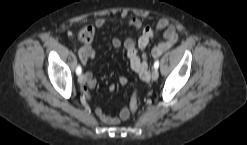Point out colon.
<instances>
[{
	"label": "colon",
	"mask_w": 247,
	"mask_h": 145,
	"mask_svg": "<svg viewBox=\"0 0 247 145\" xmlns=\"http://www.w3.org/2000/svg\"><path fill=\"white\" fill-rule=\"evenodd\" d=\"M94 36V29L91 26H84L79 32V39L84 42H90ZM139 102L137 98L136 91L133 92L130 103L129 109L126 110L125 117L128 118L130 114H135L138 111Z\"/></svg>",
	"instance_id": "5ec220e1"
}]
</instances>
